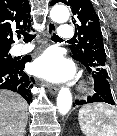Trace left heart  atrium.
<instances>
[{
  "instance_id": "39dd6f15",
  "label": "left heart atrium",
  "mask_w": 117,
  "mask_h": 136,
  "mask_svg": "<svg viewBox=\"0 0 117 136\" xmlns=\"http://www.w3.org/2000/svg\"><path fill=\"white\" fill-rule=\"evenodd\" d=\"M34 74L48 81H63L73 75L72 64L58 50L43 53L32 65Z\"/></svg>"
}]
</instances>
